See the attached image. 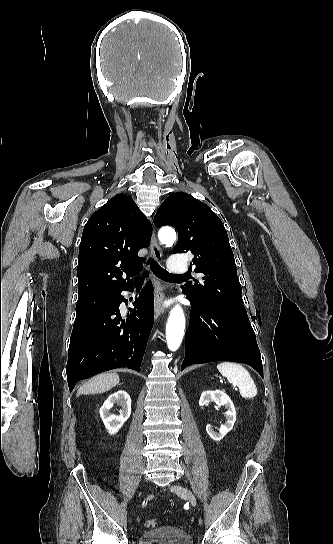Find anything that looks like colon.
Returning a JSON list of instances; mask_svg holds the SVG:
<instances>
[{
	"mask_svg": "<svg viewBox=\"0 0 333 544\" xmlns=\"http://www.w3.org/2000/svg\"><path fill=\"white\" fill-rule=\"evenodd\" d=\"M145 526L148 529H153V528H155L157 526V521L154 520V519L147 520L145 522Z\"/></svg>",
	"mask_w": 333,
	"mask_h": 544,
	"instance_id": "5ec220e1",
	"label": "colon"
}]
</instances>
